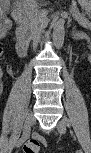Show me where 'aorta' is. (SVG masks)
<instances>
[{
    "mask_svg": "<svg viewBox=\"0 0 91 153\" xmlns=\"http://www.w3.org/2000/svg\"><path fill=\"white\" fill-rule=\"evenodd\" d=\"M65 29L64 23L56 20L53 26V42L57 49H60L64 44Z\"/></svg>",
    "mask_w": 91,
    "mask_h": 153,
    "instance_id": "obj_1",
    "label": "aorta"
}]
</instances>
